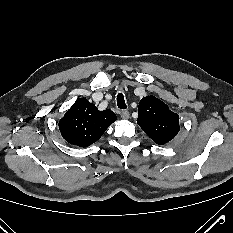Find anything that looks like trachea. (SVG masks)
<instances>
[{"label":"trachea","instance_id":"3493384b","mask_svg":"<svg viewBox=\"0 0 233 233\" xmlns=\"http://www.w3.org/2000/svg\"><path fill=\"white\" fill-rule=\"evenodd\" d=\"M117 106L119 109H126L127 108L125 100H124V96L122 93H119L117 95Z\"/></svg>","mask_w":233,"mask_h":233}]
</instances>
